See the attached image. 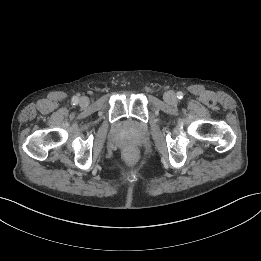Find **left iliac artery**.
<instances>
[{
  "instance_id": "obj_1",
  "label": "left iliac artery",
  "mask_w": 261,
  "mask_h": 261,
  "mask_svg": "<svg viewBox=\"0 0 261 261\" xmlns=\"http://www.w3.org/2000/svg\"><path fill=\"white\" fill-rule=\"evenodd\" d=\"M177 98L178 99H182L183 98V93L182 92H178L177 93Z\"/></svg>"
}]
</instances>
